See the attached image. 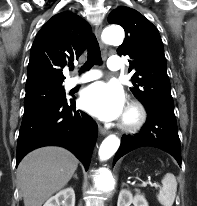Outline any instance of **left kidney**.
<instances>
[{
    "instance_id": "5707ae66",
    "label": "left kidney",
    "mask_w": 197,
    "mask_h": 206,
    "mask_svg": "<svg viewBox=\"0 0 197 206\" xmlns=\"http://www.w3.org/2000/svg\"><path fill=\"white\" fill-rule=\"evenodd\" d=\"M148 206V202L142 195H135L133 197L132 193L129 190L122 189L118 196L117 206Z\"/></svg>"
}]
</instances>
